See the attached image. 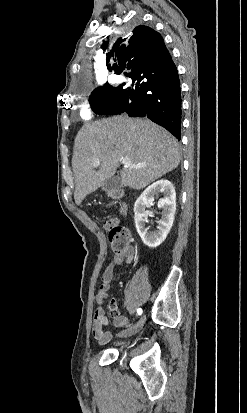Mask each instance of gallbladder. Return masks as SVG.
<instances>
[{"instance_id":"bac80fb5","label":"gallbladder","mask_w":247,"mask_h":413,"mask_svg":"<svg viewBox=\"0 0 247 413\" xmlns=\"http://www.w3.org/2000/svg\"><path fill=\"white\" fill-rule=\"evenodd\" d=\"M120 182L119 176H109V178L104 180L102 188L103 190H115V188H119Z\"/></svg>"}]
</instances>
